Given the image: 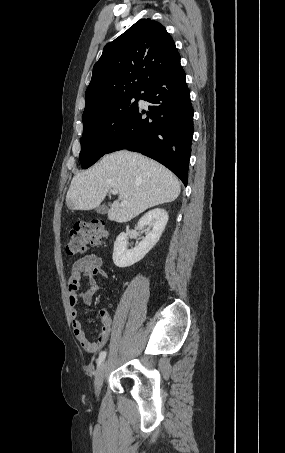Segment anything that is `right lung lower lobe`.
Instances as JSON below:
<instances>
[{"label": "right lung lower lobe", "mask_w": 285, "mask_h": 453, "mask_svg": "<svg viewBox=\"0 0 285 453\" xmlns=\"http://www.w3.org/2000/svg\"><path fill=\"white\" fill-rule=\"evenodd\" d=\"M141 99L150 113L138 109L108 153L127 149L160 162L187 185L193 137V108L180 62L150 80Z\"/></svg>", "instance_id": "1"}]
</instances>
